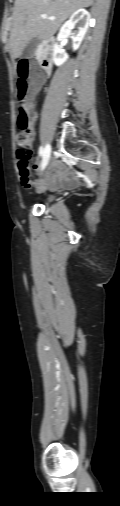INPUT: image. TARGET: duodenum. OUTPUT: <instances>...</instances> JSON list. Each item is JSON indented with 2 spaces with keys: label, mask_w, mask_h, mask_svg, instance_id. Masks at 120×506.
Masks as SVG:
<instances>
[{
  "label": "duodenum",
  "mask_w": 120,
  "mask_h": 506,
  "mask_svg": "<svg viewBox=\"0 0 120 506\" xmlns=\"http://www.w3.org/2000/svg\"><path fill=\"white\" fill-rule=\"evenodd\" d=\"M53 56H54V42L52 39L49 38L42 43L41 68L46 74L50 73L51 71Z\"/></svg>",
  "instance_id": "obj_1"
}]
</instances>
